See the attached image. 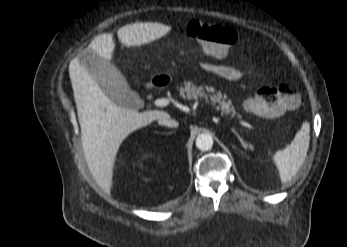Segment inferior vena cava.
Returning <instances> with one entry per match:
<instances>
[{
    "label": "inferior vena cava",
    "mask_w": 347,
    "mask_h": 247,
    "mask_svg": "<svg viewBox=\"0 0 347 247\" xmlns=\"http://www.w3.org/2000/svg\"><path fill=\"white\" fill-rule=\"evenodd\" d=\"M158 123L170 128H176L179 125L178 122L172 119L168 113H163L162 116L158 118Z\"/></svg>",
    "instance_id": "inferior-vena-cava-1"
}]
</instances>
